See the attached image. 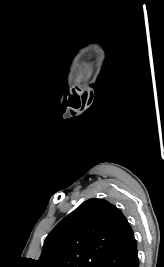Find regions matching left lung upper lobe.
<instances>
[{"mask_svg": "<svg viewBox=\"0 0 164 267\" xmlns=\"http://www.w3.org/2000/svg\"><path fill=\"white\" fill-rule=\"evenodd\" d=\"M128 224L115 205L104 199H89L49 233L36 265L99 267Z\"/></svg>", "mask_w": 164, "mask_h": 267, "instance_id": "5c2ea615", "label": "left lung upper lobe"}]
</instances>
